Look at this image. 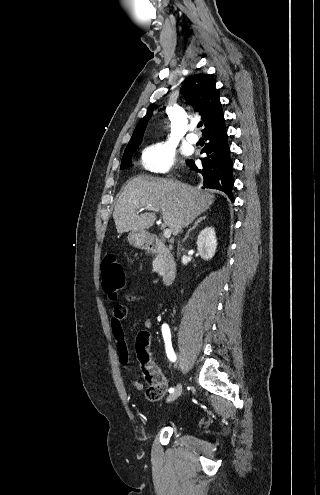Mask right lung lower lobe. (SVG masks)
<instances>
[{"label":"right lung lower lobe","instance_id":"1","mask_svg":"<svg viewBox=\"0 0 320 495\" xmlns=\"http://www.w3.org/2000/svg\"><path fill=\"white\" fill-rule=\"evenodd\" d=\"M202 135L208 140V143L201 151V153L207 154L206 157L201 158L202 167L198 168L193 160H188L186 164L191 170L200 173L203 177L204 188L221 190L233 201V162L230 158L225 120L206 129Z\"/></svg>","mask_w":320,"mask_h":495}]
</instances>
